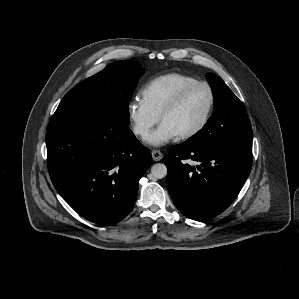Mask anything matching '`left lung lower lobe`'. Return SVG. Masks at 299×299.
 I'll list each match as a JSON object with an SVG mask.
<instances>
[{"mask_svg": "<svg viewBox=\"0 0 299 299\" xmlns=\"http://www.w3.org/2000/svg\"><path fill=\"white\" fill-rule=\"evenodd\" d=\"M164 163L167 188L177 209L204 221L222 213L239 194L251 171L252 148H204L184 142L168 150Z\"/></svg>", "mask_w": 299, "mask_h": 299, "instance_id": "1", "label": "left lung lower lobe"}]
</instances>
